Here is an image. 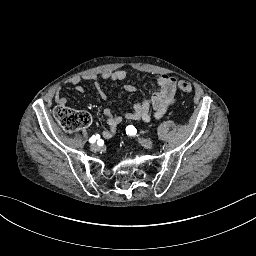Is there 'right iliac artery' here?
I'll return each instance as SVG.
<instances>
[{
	"label": "right iliac artery",
	"mask_w": 256,
	"mask_h": 256,
	"mask_svg": "<svg viewBox=\"0 0 256 256\" xmlns=\"http://www.w3.org/2000/svg\"><path fill=\"white\" fill-rule=\"evenodd\" d=\"M100 138V136L97 134L96 136H92L90 139H89V142L90 143H94L96 141V139Z\"/></svg>",
	"instance_id": "obj_1"
}]
</instances>
